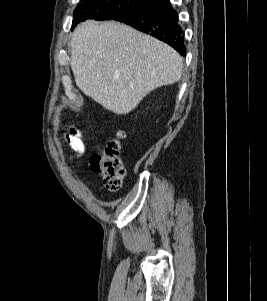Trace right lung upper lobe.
Listing matches in <instances>:
<instances>
[{
	"label": "right lung upper lobe",
	"mask_w": 267,
	"mask_h": 301,
	"mask_svg": "<svg viewBox=\"0 0 267 301\" xmlns=\"http://www.w3.org/2000/svg\"><path fill=\"white\" fill-rule=\"evenodd\" d=\"M146 1H148L149 4L151 5V4H154V3H158V2H160L162 0H146Z\"/></svg>",
	"instance_id": "cb5924a9"
}]
</instances>
